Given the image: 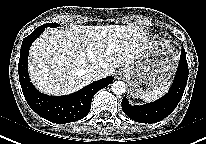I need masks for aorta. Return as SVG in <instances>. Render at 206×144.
Here are the masks:
<instances>
[{"label": "aorta", "instance_id": "1", "mask_svg": "<svg viewBox=\"0 0 206 144\" xmlns=\"http://www.w3.org/2000/svg\"><path fill=\"white\" fill-rule=\"evenodd\" d=\"M114 94L121 95L125 92V84L122 81H114L111 85Z\"/></svg>", "mask_w": 206, "mask_h": 144}]
</instances>
